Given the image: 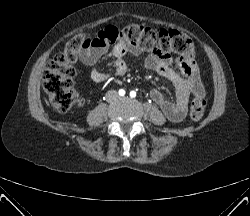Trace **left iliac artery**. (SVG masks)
Masks as SVG:
<instances>
[{
  "mask_svg": "<svg viewBox=\"0 0 250 216\" xmlns=\"http://www.w3.org/2000/svg\"><path fill=\"white\" fill-rule=\"evenodd\" d=\"M130 97H132V98L136 97V92L135 91H131L130 92Z\"/></svg>",
  "mask_w": 250,
  "mask_h": 216,
  "instance_id": "1",
  "label": "left iliac artery"
}]
</instances>
